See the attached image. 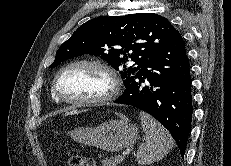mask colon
I'll return each instance as SVG.
<instances>
[{"mask_svg": "<svg viewBox=\"0 0 231 166\" xmlns=\"http://www.w3.org/2000/svg\"><path fill=\"white\" fill-rule=\"evenodd\" d=\"M69 166H94L93 161L81 156H71Z\"/></svg>", "mask_w": 231, "mask_h": 166, "instance_id": "colon-1", "label": "colon"}]
</instances>
